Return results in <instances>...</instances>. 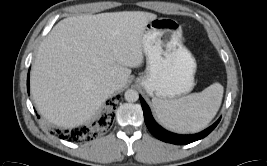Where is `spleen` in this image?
Wrapping results in <instances>:
<instances>
[{"label": "spleen", "mask_w": 267, "mask_h": 166, "mask_svg": "<svg viewBox=\"0 0 267 166\" xmlns=\"http://www.w3.org/2000/svg\"><path fill=\"white\" fill-rule=\"evenodd\" d=\"M223 86L214 83L200 93L179 99L153 98V107L159 121L167 128L181 133L204 129L220 108Z\"/></svg>", "instance_id": "spleen-1"}]
</instances>
